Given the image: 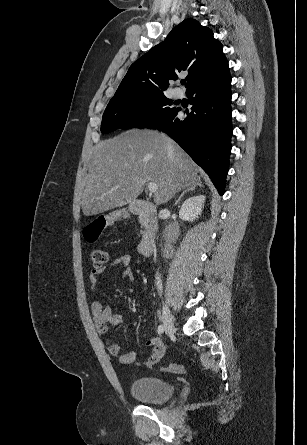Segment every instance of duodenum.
<instances>
[{
    "mask_svg": "<svg viewBox=\"0 0 307 445\" xmlns=\"http://www.w3.org/2000/svg\"><path fill=\"white\" fill-rule=\"evenodd\" d=\"M130 210L145 224V231L139 242L138 251L143 256H148L152 252L157 232L156 208L148 201L135 200L131 203Z\"/></svg>",
    "mask_w": 307,
    "mask_h": 445,
    "instance_id": "410a0bca",
    "label": "duodenum"
}]
</instances>
